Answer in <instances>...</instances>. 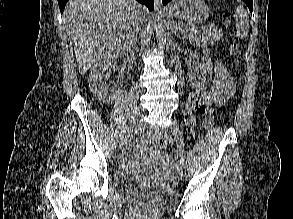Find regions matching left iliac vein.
<instances>
[{
  "instance_id": "obj_1",
  "label": "left iliac vein",
  "mask_w": 293,
  "mask_h": 219,
  "mask_svg": "<svg viewBox=\"0 0 293 219\" xmlns=\"http://www.w3.org/2000/svg\"><path fill=\"white\" fill-rule=\"evenodd\" d=\"M171 130L174 135V138L176 140V146L179 152V162L180 165L185 168L186 167V155H185V149H184V139H183V133L182 130L176 120H174L171 124Z\"/></svg>"
}]
</instances>
